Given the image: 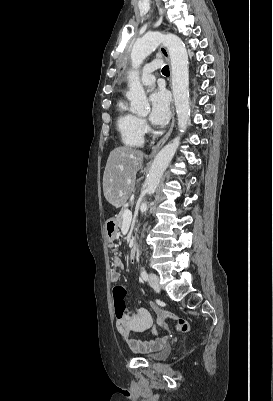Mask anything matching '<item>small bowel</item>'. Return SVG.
<instances>
[{
	"label": "small bowel",
	"instance_id": "1",
	"mask_svg": "<svg viewBox=\"0 0 273 401\" xmlns=\"http://www.w3.org/2000/svg\"><path fill=\"white\" fill-rule=\"evenodd\" d=\"M124 265L122 258L116 255L112 259V270L110 273V279L113 283H117L120 280L119 269ZM153 311L156 312L155 316L159 318L157 323L160 327L168 331L167 324L164 325L165 320L162 318H174V311H160L159 305L153 306ZM173 327L177 334H189L190 328L186 318H175L173 320ZM115 327L117 332L126 339L128 345H135L137 350L154 353L159 352L167 346L168 337L163 336L154 340H146L142 342L140 337L131 336L132 333H142L145 331H151L153 334H158V329L153 325V320L150 312L145 308H139L136 313L126 315L123 321H116Z\"/></svg>",
	"mask_w": 273,
	"mask_h": 401
}]
</instances>
